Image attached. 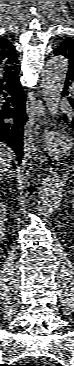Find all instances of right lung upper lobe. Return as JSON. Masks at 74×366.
Returning <instances> with one entry per match:
<instances>
[{
	"label": "right lung upper lobe",
	"mask_w": 74,
	"mask_h": 366,
	"mask_svg": "<svg viewBox=\"0 0 74 366\" xmlns=\"http://www.w3.org/2000/svg\"><path fill=\"white\" fill-rule=\"evenodd\" d=\"M18 59L15 47L5 38H0V88L19 81Z\"/></svg>",
	"instance_id": "1"
}]
</instances>
